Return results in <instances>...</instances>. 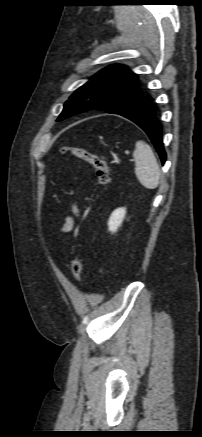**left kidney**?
<instances>
[{"instance_id": "1", "label": "left kidney", "mask_w": 202, "mask_h": 437, "mask_svg": "<svg viewBox=\"0 0 202 437\" xmlns=\"http://www.w3.org/2000/svg\"><path fill=\"white\" fill-rule=\"evenodd\" d=\"M125 215H126L125 208H118L112 212L108 221V228L110 232L114 233L117 231V229L121 226L125 218Z\"/></svg>"}]
</instances>
